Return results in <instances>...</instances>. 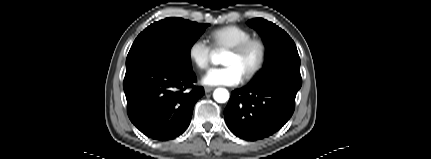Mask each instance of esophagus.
Masks as SVG:
<instances>
[{"mask_svg":"<svg viewBox=\"0 0 431 159\" xmlns=\"http://www.w3.org/2000/svg\"><path fill=\"white\" fill-rule=\"evenodd\" d=\"M204 90H205V93H209V92L213 91L214 88L213 87H205Z\"/></svg>","mask_w":431,"mask_h":159,"instance_id":"34e87169","label":"esophagus"}]
</instances>
